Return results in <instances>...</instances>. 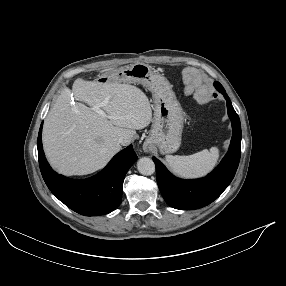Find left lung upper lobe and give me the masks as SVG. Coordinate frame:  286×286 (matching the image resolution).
I'll return each mask as SVG.
<instances>
[{
    "mask_svg": "<svg viewBox=\"0 0 286 286\" xmlns=\"http://www.w3.org/2000/svg\"><path fill=\"white\" fill-rule=\"evenodd\" d=\"M215 88L221 93L225 92L223 86L219 82L215 83Z\"/></svg>",
    "mask_w": 286,
    "mask_h": 286,
    "instance_id": "1",
    "label": "left lung upper lobe"
}]
</instances>
